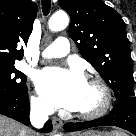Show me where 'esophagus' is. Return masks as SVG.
<instances>
[{
  "mask_svg": "<svg viewBox=\"0 0 136 136\" xmlns=\"http://www.w3.org/2000/svg\"><path fill=\"white\" fill-rule=\"evenodd\" d=\"M52 124H53V128L55 130H59L63 123H62V121L60 119H58L56 117H53Z\"/></svg>",
  "mask_w": 136,
  "mask_h": 136,
  "instance_id": "obj_1",
  "label": "esophagus"
}]
</instances>
